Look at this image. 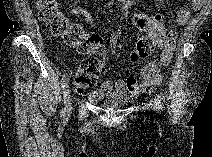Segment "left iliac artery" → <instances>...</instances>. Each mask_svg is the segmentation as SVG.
I'll use <instances>...</instances> for the list:
<instances>
[{"label":"left iliac artery","mask_w":212,"mask_h":157,"mask_svg":"<svg viewBox=\"0 0 212 157\" xmlns=\"http://www.w3.org/2000/svg\"><path fill=\"white\" fill-rule=\"evenodd\" d=\"M156 106L159 108L161 106V101L159 96L156 97Z\"/></svg>","instance_id":"left-iliac-artery-1"}]
</instances>
